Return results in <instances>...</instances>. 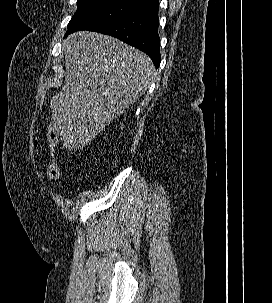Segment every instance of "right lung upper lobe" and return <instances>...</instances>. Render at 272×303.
Segmentation results:
<instances>
[{
    "label": "right lung upper lobe",
    "mask_w": 272,
    "mask_h": 303,
    "mask_svg": "<svg viewBox=\"0 0 272 303\" xmlns=\"http://www.w3.org/2000/svg\"><path fill=\"white\" fill-rule=\"evenodd\" d=\"M136 4L139 9H145L158 3V0H123Z\"/></svg>",
    "instance_id": "1"
}]
</instances>
